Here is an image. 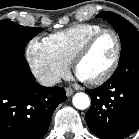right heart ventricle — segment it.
Wrapping results in <instances>:
<instances>
[{"label":"right heart ventricle","mask_w":139,"mask_h":139,"mask_svg":"<svg viewBox=\"0 0 139 139\" xmlns=\"http://www.w3.org/2000/svg\"><path fill=\"white\" fill-rule=\"evenodd\" d=\"M103 29L93 23L77 24L50 34L45 38L49 46L63 59L71 62L79 47L95 32Z\"/></svg>","instance_id":"obj_1"}]
</instances>
